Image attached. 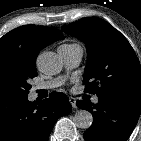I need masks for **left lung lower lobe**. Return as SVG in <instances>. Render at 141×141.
Listing matches in <instances>:
<instances>
[{
    "label": "left lung lower lobe",
    "mask_w": 141,
    "mask_h": 141,
    "mask_svg": "<svg viewBox=\"0 0 141 141\" xmlns=\"http://www.w3.org/2000/svg\"><path fill=\"white\" fill-rule=\"evenodd\" d=\"M98 103L76 102L93 115L92 126L84 132L86 141H126L137 124L141 98L99 95Z\"/></svg>",
    "instance_id": "0a47b994"
}]
</instances>
